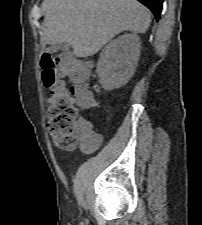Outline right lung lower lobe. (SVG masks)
<instances>
[{"label": "right lung lower lobe", "mask_w": 202, "mask_h": 225, "mask_svg": "<svg viewBox=\"0 0 202 225\" xmlns=\"http://www.w3.org/2000/svg\"><path fill=\"white\" fill-rule=\"evenodd\" d=\"M138 1L144 4L152 11L156 20L160 19L163 0H138Z\"/></svg>", "instance_id": "obj_1"}]
</instances>
